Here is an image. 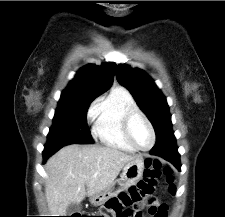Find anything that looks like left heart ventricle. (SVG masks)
Wrapping results in <instances>:
<instances>
[{
  "instance_id": "b2bd125f",
  "label": "left heart ventricle",
  "mask_w": 225,
  "mask_h": 217,
  "mask_svg": "<svg viewBox=\"0 0 225 217\" xmlns=\"http://www.w3.org/2000/svg\"><path fill=\"white\" fill-rule=\"evenodd\" d=\"M132 136L136 144L142 148H147L152 142V135L145 121L136 117L131 126Z\"/></svg>"
}]
</instances>
